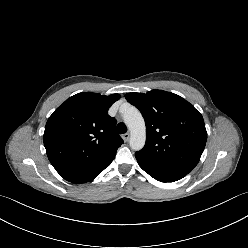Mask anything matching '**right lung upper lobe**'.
I'll use <instances>...</instances> for the list:
<instances>
[{"mask_svg": "<svg viewBox=\"0 0 248 248\" xmlns=\"http://www.w3.org/2000/svg\"><path fill=\"white\" fill-rule=\"evenodd\" d=\"M119 98V94L82 92L58 107L43 135L51 164L87 165L115 153L123 140L115 132L116 121L108 109Z\"/></svg>", "mask_w": 248, "mask_h": 248, "instance_id": "1", "label": "right lung upper lobe"}]
</instances>
